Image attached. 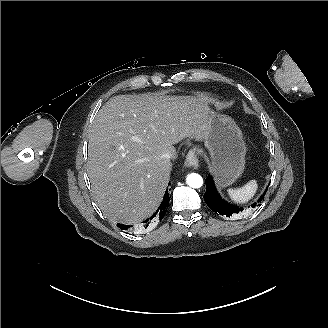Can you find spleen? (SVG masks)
Listing matches in <instances>:
<instances>
[{"instance_id": "3e777b00", "label": "spleen", "mask_w": 328, "mask_h": 328, "mask_svg": "<svg viewBox=\"0 0 328 328\" xmlns=\"http://www.w3.org/2000/svg\"><path fill=\"white\" fill-rule=\"evenodd\" d=\"M256 189L255 180H250L241 187L229 188L228 192L234 201L243 203L254 195Z\"/></svg>"}]
</instances>
